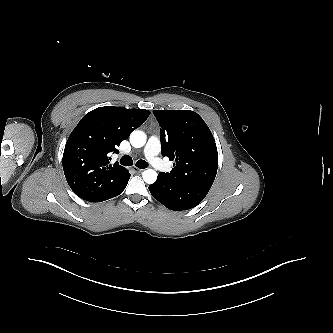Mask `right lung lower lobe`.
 Returning a JSON list of instances; mask_svg holds the SVG:
<instances>
[{
    "label": "right lung lower lobe",
    "instance_id": "1",
    "mask_svg": "<svg viewBox=\"0 0 333 333\" xmlns=\"http://www.w3.org/2000/svg\"><path fill=\"white\" fill-rule=\"evenodd\" d=\"M130 174L128 173V175H127V177H126V182H125V184L117 191V192H115L114 194H112L111 196H109V197H107L105 200H108V199H110V198H113V197H115V196H117V195H119L124 189H125V187H126V185H127V183H128V180H129V178H130ZM104 200V201H105Z\"/></svg>",
    "mask_w": 333,
    "mask_h": 333
}]
</instances>
